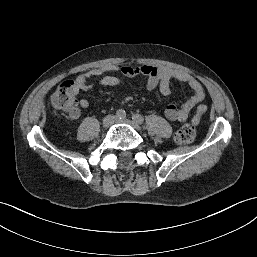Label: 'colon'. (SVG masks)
<instances>
[{"label": "colon", "instance_id": "colon-1", "mask_svg": "<svg viewBox=\"0 0 257 257\" xmlns=\"http://www.w3.org/2000/svg\"><path fill=\"white\" fill-rule=\"evenodd\" d=\"M52 103L55 108L68 112H75L78 103L73 91V82H62L52 96ZM196 137V127L194 124L183 125L175 134V140L180 144H189Z\"/></svg>", "mask_w": 257, "mask_h": 257}]
</instances>
